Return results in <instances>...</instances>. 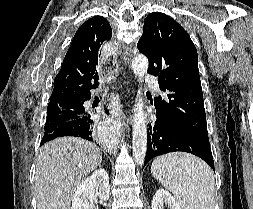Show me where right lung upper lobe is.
<instances>
[{
    "instance_id": "1",
    "label": "right lung upper lobe",
    "mask_w": 253,
    "mask_h": 209,
    "mask_svg": "<svg viewBox=\"0 0 253 209\" xmlns=\"http://www.w3.org/2000/svg\"><path fill=\"white\" fill-rule=\"evenodd\" d=\"M112 29L102 16H94L77 30L61 69L54 80L48 107L79 101L98 86V58L101 45L110 40Z\"/></svg>"
}]
</instances>
